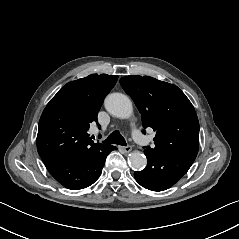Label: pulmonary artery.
I'll use <instances>...</instances> for the list:
<instances>
[{
    "instance_id": "obj_1",
    "label": "pulmonary artery",
    "mask_w": 239,
    "mask_h": 239,
    "mask_svg": "<svg viewBox=\"0 0 239 239\" xmlns=\"http://www.w3.org/2000/svg\"><path fill=\"white\" fill-rule=\"evenodd\" d=\"M133 137H134V139H136L137 141H139V140L142 139V135H141L139 132H137V131H135V132L133 133Z\"/></svg>"
}]
</instances>
